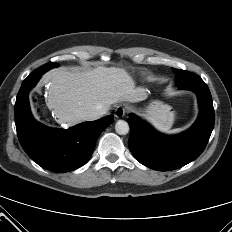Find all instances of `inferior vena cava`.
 <instances>
[{
    "instance_id": "1",
    "label": "inferior vena cava",
    "mask_w": 232,
    "mask_h": 232,
    "mask_svg": "<svg viewBox=\"0 0 232 232\" xmlns=\"http://www.w3.org/2000/svg\"><path fill=\"white\" fill-rule=\"evenodd\" d=\"M106 113H107V110L104 108L97 109L95 111L89 112L86 115V119L87 120H96V119H99L101 116H103Z\"/></svg>"
}]
</instances>
